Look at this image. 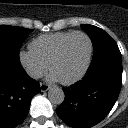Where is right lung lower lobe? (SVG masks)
I'll return each mask as SVG.
<instances>
[{
	"mask_svg": "<svg viewBox=\"0 0 128 128\" xmlns=\"http://www.w3.org/2000/svg\"><path fill=\"white\" fill-rule=\"evenodd\" d=\"M39 92V83L29 77L21 65L0 58V128L21 124L31 99Z\"/></svg>",
	"mask_w": 128,
	"mask_h": 128,
	"instance_id": "1",
	"label": "right lung lower lobe"
}]
</instances>
